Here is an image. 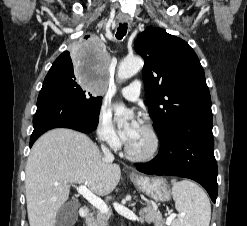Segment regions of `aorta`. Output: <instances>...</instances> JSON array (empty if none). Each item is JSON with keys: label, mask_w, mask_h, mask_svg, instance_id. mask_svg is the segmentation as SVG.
<instances>
[{"label": "aorta", "mask_w": 247, "mask_h": 226, "mask_svg": "<svg viewBox=\"0 0 247 226\" xmlns=\"http://www.w3.org/2000/svg\"><path fill=\"white\" fill-rule=\"evenodd\" d=\"M143 67V61L141 58H128L123 60L117 72V77L120 81L126 80L134 76ZM115 117L118 123H126V121L132 116V112L128 110L124 105H116Z\"/></svg>", "instance_id": "aorta-1"}]
</instances>
